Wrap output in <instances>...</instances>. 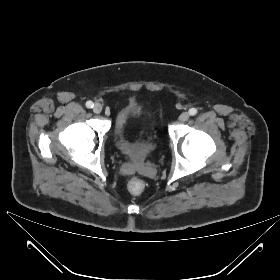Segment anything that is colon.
<instances>
[{
  "instance_id": "5ec220e1",
  "label": "colon",
  "mask_w": 280,
  "mask_h": 280,
  "mask_svg": "<svg viewBox=\"0 0 280 280\" xmlns=\"http://www.w3.org/2000/svg\"><path fill=\"white\" fill-rule=\"evenodd\" d=\"M146 187L145 182L140 178H132L128 181V191L133 195H140L144 192Z\"/></svg>"
}]
</instances>
